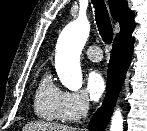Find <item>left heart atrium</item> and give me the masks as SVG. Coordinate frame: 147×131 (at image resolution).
Wrapping results in <instances>:
<instances>
[{
    "label": "left heart atrium",
    "instance_id": "left-heart-atrium-1",
    "mask_svg": "<svg viewBox=\"0 0 147 131\" xmlns=\"http://www.w3.org/2000/svg\"><path fill=\"white\" fill-rule=\"evenodd\" d=\"M106 83L103 75L95 70L89 73L87 77V91L92 100H99L104 94Z\"/></svg>",
    "mask_w": 147,
    "mask_h": 131
}]
</instances>
